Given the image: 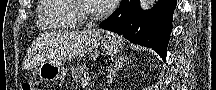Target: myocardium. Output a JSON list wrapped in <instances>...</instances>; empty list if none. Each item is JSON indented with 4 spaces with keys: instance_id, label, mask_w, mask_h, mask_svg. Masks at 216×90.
Returning <instances> with one entry per match:
<instances>
[{
    "instance_id": "myocardium-1",
    "label": "myocardium",
    "mask_w": 216,
    "mask_h": 90,
    "mask_svg": "<svg viewBox=\"0 0 216 90\" xmlns=\"http://www.w3.org/2000/svg\"><path fill=\"white\" fill-rule=\"evenodd\" d=\"M81 1H92V0H74L72 3H65L66 7H73L74 12H73V17L78 20L83 28H96V23L98 20L102 17L107 18L110 8L104 5H100L99 8L96 11V14L90 15L79 7V3Z\"/></svg>"
}]
</instances>
